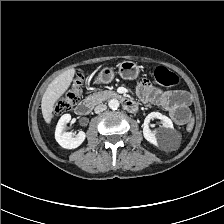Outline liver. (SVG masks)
I'll return each mask as SVG.
<instances>
[{"label":"liver","mask_w":224,"mask_h":224,"mask_svg":"<svg viewBox=\"0 0 224 224\" xmlns=\"http://www.w3.org/2000/svg\"><path fill=\"white\" fill-rule=\"evenodd\" d=\"M75 72V69H69L57 76L48 85L41 103L43 118L47 124L51 123L54 105L71 85Z\"/></svg>","instance_id":"obj_1"}]
</instances>
